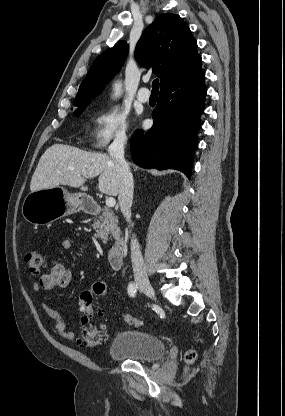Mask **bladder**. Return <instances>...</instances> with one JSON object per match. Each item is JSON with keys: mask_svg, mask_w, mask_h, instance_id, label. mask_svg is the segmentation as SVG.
<instances>
[{"mask_svg": "<svg viewBox=\"0 0 285 416\" xmlns=\"http://www.w3.org/2000/svg\"><path fill=\"white\" fill-rule=\"evenodd\" d=\"M165 341L138 329L120 330L110 345L109 356L123 360L149 362L161 358Z\"/></svg>", "mask_w": 285, "mask_h": 416, "instance_id": "1", "label": "bladder"}]
</instances>
